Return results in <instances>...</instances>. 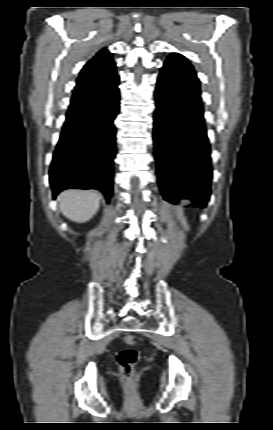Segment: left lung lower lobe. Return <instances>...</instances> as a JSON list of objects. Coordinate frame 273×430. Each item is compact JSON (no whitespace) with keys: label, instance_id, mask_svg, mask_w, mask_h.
Here are the masks:
<instances>
[{"label":"left lung lower lobe","instance_id":"obj_1","mask_svg":"<svg viewBox=\"0 0 273 430\" xmlns=\"http://www.w3.org/2000/svg\"><path fill=\"white\" fill-rule=\"evenodd\" d=\"M181 76L160 74L155 91L154 145L158 182L170 203L190 198L204 208L211 194V149L201 97L179 88Z\"/></svg>","mask_w":273,"mask_h":430}]
</instances>
